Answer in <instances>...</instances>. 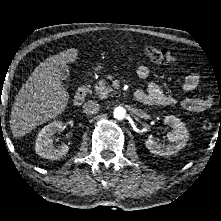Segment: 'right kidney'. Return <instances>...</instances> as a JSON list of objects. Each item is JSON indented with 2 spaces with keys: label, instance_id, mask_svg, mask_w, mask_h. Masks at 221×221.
Instances as JSON below:
<instances>
[{
  "label": "right kidney",
  "instance_id": "right-kidney-1",
  "mask_svg": "<svg viewBox=\"0 0 221 221\" xmlns=\"http://www.w3.org/2000/svg\"><path fill=\"white\" fill-rule=\"evenodd\" d=\"M63 124L61 121H54L46 125L37 135L35 151L36 153L45 159H59L65 156L69 147L65 144L58 147L53 146L52 135L57 131H61Z\"/></svg>",
  "mask_w": 221,
  "mask_h": 221
}]
</instances>
